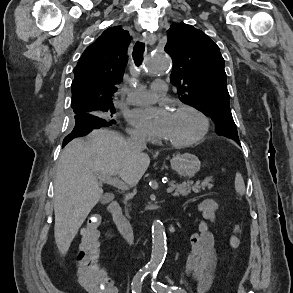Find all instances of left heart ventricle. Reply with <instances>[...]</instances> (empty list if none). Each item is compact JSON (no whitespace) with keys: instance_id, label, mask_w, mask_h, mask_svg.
<instances>
[{"instance_id":"left-heart-ventricle-1","label":"left heart ventricle","mask_w":293,"mask_h":293,"mask_svg":"<svg viewBox=\"0 0 293 293\" xmlns=\"http://www.w3.org/2000/svg\"><path fill=\"white\" fill-rule=\"evenodd\" d=\"M200 128L201 123L194 114L174 111L165 138L169 141L189 140L199 133Z\"/></svg>"}]
</instances>
